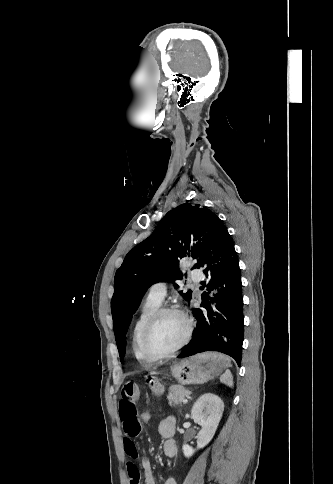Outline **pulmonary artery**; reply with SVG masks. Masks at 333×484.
<instances>
[{
  "label": "pulmonary artery",
  "instance_id": "1",
  "mask_svg": "<svg viewBox=\"0 0 333 484\" xmlns=\"http://www.w3.org/2000/svg\"><path fill=\"white\" fill-rule=\"evenodd\" d=\"M192 280L196 285L200 282L201 275L198 271L192 272ZM166 291H167L166 283L164 282L155 283L151 286L149 290L148 298L155 302L162 303V301L166 296Z\"/></svg>",
  "mask_w": 333,
  "mask_h": 484
}]
</instances>
